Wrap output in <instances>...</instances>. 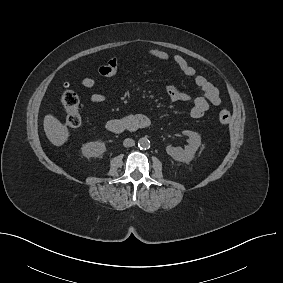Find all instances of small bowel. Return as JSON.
<instances>
[{"instance_id": "obj_1", "label": "small bowel", "mask_w": 283, "mask_h": 283, "mask_svg": "<svg viewBox=\"0 0 283 283\" xmlns=\"http://www.w3.org/2000/svg\"><path fill=\"white\" fill-rule=\"evenodd\" d=\"M145 54L163 62L174 63L180 71L187 77H195V83L202 91V96L195 97L192 100V107L190 115L192 118H201L208 111L210 105L218 106L221 103V97L218 88L213 85L206 77L197 75L194 67H192L187 60L178 54H170L166 51L157 48H149ZM120 59L118 56H112L106 63L100 65L97 72L100 77H113L119 67ZM98 82L97 77H85L81 79L80 84L84 88H92ZM165 93L168 98L174 102H188L191 97L188 93L180 90L175 86H167ZM107 95L104 93H94L89 97L91 105L101 104L107 100Z\"/></svg>"}]
</instances>
